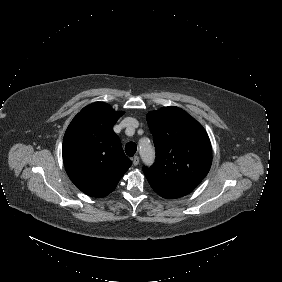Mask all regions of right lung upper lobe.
I'll list each match as a JSON object with an SVG mask.
<instances>
[{"instance_id": "1", "label": "right lung upper lobe", "mask_w": 282, "mask_h": 282, "mask_svg": "<svg viewBox=\"0 0 282 282\" xmlns=\"http://www.w3.org/2000/svg\"><path fill=\"white\" fill-rule=\"evenodd\" d=\"M124 114L95 102L84 107L68 126L63 161L71 181L85 194L105 197L131 166L113 126Z\"/></svg>"}]
</instances>
